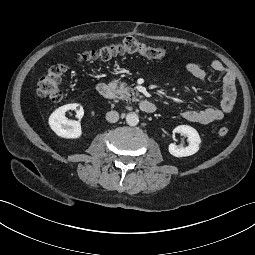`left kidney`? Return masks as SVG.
Returning a JSON list of instances; mask_svg holds the SVG:
<instances>
[{"instance_id":"1","label":"left kidney","mask_w":255,"mask_h":255,"mask_svg":"<svg viewBox=\"0 0 255 255\" xmlns=\"http://www.w3.org/2000/svg\"><path fill=\"white\" fill-rule=\"evenodd\" d=\"M173 133H180L181 135L187 137L189 145L184 147L171 143L168 148L171 155L175 157H185L198 152L201 139L196 129L189 125H179L174 128Z\"/></svg>"}]
</instances>
